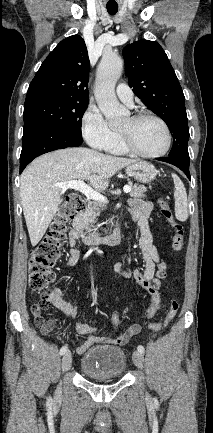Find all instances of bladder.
I'll return each mask as SVG.
<instances>
[{"label": "bladder", "instance_id": "1", "mask_svg": "<svg viewBox=\"0 0 213 433\" xmlns=\"http://www.w3.org/2000/svg\"><path fill=\"white\" fill-rule=\"evenodd\" d=\"M126 369V356L122 348L114 345H96L81 357L80 370L91 379L121 377Z\"/></svg>", "mask_w": 213, "mask_h": 433}]
</instances>
